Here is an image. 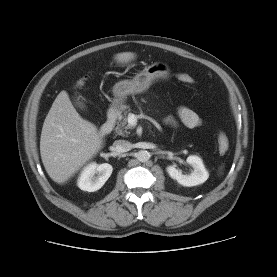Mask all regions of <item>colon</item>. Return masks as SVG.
Here are the masks:
<instances>
[{
	"mask_svg": "<svg viewBox=\"0 0 277 277\" xmlns=\"http://www.w3.org/2000/svg\"><path fill=\"white\" fill-rule=\"evenodd\" d=\"M177 79L182 83L191 84L193 83V78L187 73H178L176 75ZM85 83V79H80L77 82L78 87H82ZM218 150L220 153L224 154L229 150L230 142L228 136L224 132H219L217 136Z\"/></svg>",
	"mask_w": 277,
	"mask_h": 277,
	"instance_id": "1",
	"label": "colon"
}]
</instances>
